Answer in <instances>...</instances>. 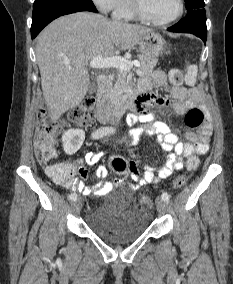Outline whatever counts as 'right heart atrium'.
<instances>
[{"instance_id":"right-heart-atrium-1","label":"right heart atrium","mask_w":233,"mask_h":284,"mask_svg":"<svg viewBox=\"0 0 233 284\" xmlns=\"http://www.w3.org/2000/svg\"><path fill=\"white\" fill-rule=\"evenodd\" d=\"M92 2L98 7L102 12H110L114 10L119 0H92Z\"/></svg>"}]
</instances>
